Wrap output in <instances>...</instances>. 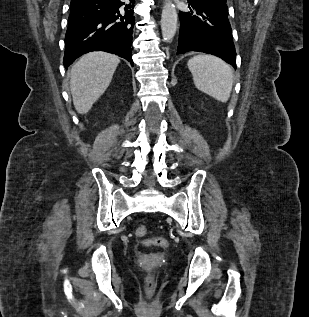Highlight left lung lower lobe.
I'll return each mask as SVG.
<instances>
[{"instance_id":"1","label":"left lung lower lobe","mask_w":309,"mask_h":317,"mask_svg":"<svg viewBox=\"0 0 309 317\" xmlns=\"http://www.w3.org/2000/svg\"><path fill=\"white\" fill-rule=\"evenodd\" d=\"M190 12H179L180 33L177 54L198 51L218 56L236 69V51L228 10L188 5Z\"/></svg>"}]
</instances>
